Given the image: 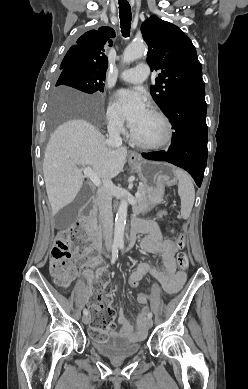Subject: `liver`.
I'll return each mask as SVG.
<instances>
[{"mask_svg": "<svg viewBox=\"0 0 248 389\" xmlns=\"http://www.w3.org/2000/svg\"><path fill=\"white\" fill-rule=\"evenodd\" d=\"M54 97L62 105L93 103L91 97L67 88L56 90ZM126 156V148L109 147L100 131L84 119L60 125L48 141L43 161L52 214L70 204L79 193L84 176L78 166L92 167L102 180L111 179L123 170Z\"/></svg>", "mask_w": 248, "mask_h": 389, "instance_id": "6515ba94", "label": "liver"}]
</instances>
